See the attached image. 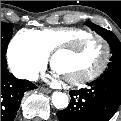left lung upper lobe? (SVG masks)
<instances>
[{
	"instance_id": "obj_1",
	"label": "left lung upper lobe",
	"mask_w": 121,
	"mask_h": 121,
	"mask_svg": "<svg viewBox=\"0 0 121 121\" xmlns=\"http://www.w3.org/2000/svg\"><path fill=\"white\" fill-rule=\"evenodd\" d=\"M91 29H93L96 33L101 35L107 42L109 43L112 49V57L111 62L109 63V67L104 74H112L121 77V43L117 39V37L109 30L102 28L98 25L93 24L90 21H86L85 23Z\"/></svg>"
}]
</instances>
